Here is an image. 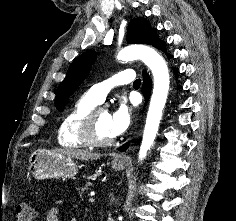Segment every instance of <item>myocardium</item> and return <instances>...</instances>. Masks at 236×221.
<instances>
[{
    "label": "myocardium",
    "instance_id": "obj_1",
    "mask_svg": "<svg viewBox=\"0 0 236 221\" xmlns=\"http://www.w3.org/2000/svg\"><path fill=\"white\" fill-rule=\"evenodd\" d=\"M104 110L103 107H94L82 120L80 124L79 135L82 141L88 146L105 147L115 141V137L102 139L97 135L96 125L99 113Z\"/></svg>",
    "mask_w": 236,
    "mask_h": 221
}]
</instances>
